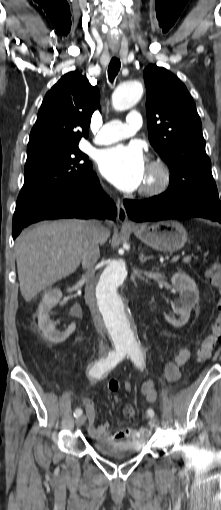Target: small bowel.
Returning <instances> with one entry per match:
<instances>
[{"instance_id":"small-bowel-1","label":"small bowel","mask_w":221,"mask_h":510,"mask_svg":"<svg viewBox=\"0 0 221 510\" xmlns=\"http://www.w3.org/2000/svg\"><path fill=\"white\" fill-rule=\"evenodd\" d=\"M191 349L182 348L173 361L165 365V375L168 380L176 381L180 377L181 367L190 359ZM130 387V385H128ZM141 393L147 398L148 401L154 402L156 399V392L151 381H146L141 385ZM82 403L85 408L87 417V427L89 433L97 440H124L134 438L137 434L136 430L132 427H124L119 431L111 432L110 423L104 422L96 425V410L95 403L89 397H84ZM129 409L131 412L126 415L129 417L130 422H135V410L131 405L125 406L124 409Z\"/></svg>"}]
</instances>
